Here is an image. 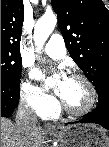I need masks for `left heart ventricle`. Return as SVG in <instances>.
<instances>
[{"instance_id": "1", "label": "left heart ventricle", "mask_w": 109, "mask_h": 147, "mask_svg": "<svg viewBox=\"0 0 109 147\" xmlns=\"http://www.w3.org/2000/svg\"><path fill=\"white\" fill-rule=\"evenodd\" d=\"M57 87L61 89V98L72 109H82L90 102V90L80 79L68 78L60 80Z\"/></svg>"}]
</instances>
